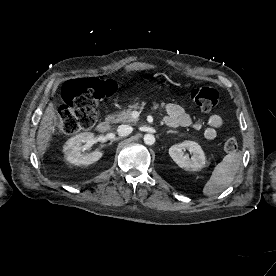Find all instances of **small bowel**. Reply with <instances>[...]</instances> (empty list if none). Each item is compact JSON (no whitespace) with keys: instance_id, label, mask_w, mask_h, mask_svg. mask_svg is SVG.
Masks as SVG:
<instances>
[{"instance_id":"1","label":"small bowel","mask_w":276,"mask_h":276,"mask_svg":"<svg viewBox=\"0 0 276 276\" xmlns=\"http://www.w3.org/2000/svg\"><path fill=\"white\" fill-rule=\"evenodd\" d=\"M166 117L165 123L170 127H193L203 131V135L207 140H214L217 137V132L222 128L224 122L220 115L212 114L207 119V122L194 120L187 114L184 108L175 103L165 105Z\"/></svg>"}]
</instances>
